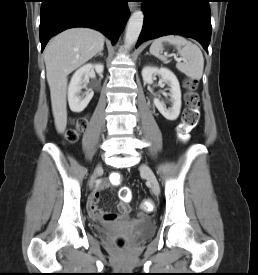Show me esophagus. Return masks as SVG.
Masks as SVG:
<instances>
[{"label":"esophagus","instance_id":"34e87169","mask_svg":"<svg viewBox=\"0 0 258 275\" xmlns=\"http://www.w3.org/2000/svg\"><path fill=\"white\" fill-rule=\"evenodd\" d=\"M128 6H129V9H130L131 11L134 10V9L136 8V4L133 3V1L129 2V3H128Z\"/></svg>","mask_w":258,"mask_h":275}]
</instances>
